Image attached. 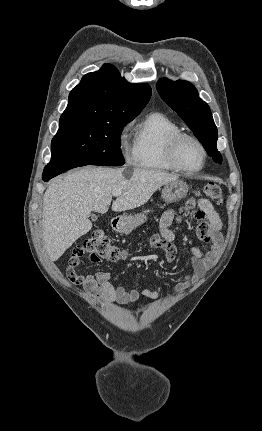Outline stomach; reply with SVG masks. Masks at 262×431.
I'll use <instances>...</instances> for the list:
<instances>
[{"instance_id":"stomach-1","label":"stomach","mask_w":262,"mask_h":431,"mask_svg":"<svg viewBox=\"0 0 262 431\" xmlns=\"http://www.w3.org/2000/svg\"><path fill=\"white\" fill-rule=\"evenodd\" d=\"M188 185L179 179L164 185L162 189V198L166 203L177 202L186 197ZM146 220L144 214L130 215L120 217L116 226L118 232L129 234L134 228L141 225Z\"/></svg>"}]
</instances>
